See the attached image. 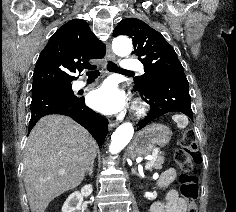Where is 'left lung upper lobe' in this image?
Here are the masks:
<instances>
[{
  "label": "left lung upper lobe",
  "mask_w": 236,
  "mask_h": 212,
  "mask_svg": "<svg viewBox=\"0 0 236 212\" xmlns=\"http://www.w3.org/2000/svg\"><path fill=\"white\" fill-rule=\"evenodd\" d=\"M127 35L133 40L135 54L144 65L145 74L134 78V88L148 90L156 80L177 71H184L176 52L165 38L143 21L136 18L122 20L113 36Z\"/></svg>",
  "instance_id": "5c2ea615"
}]
</instances>
